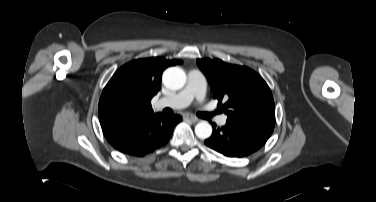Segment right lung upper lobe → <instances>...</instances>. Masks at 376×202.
Instances as JSON below:
<instances>
[{
  "label": "right lung upper lobe",
  "instance_id": "right-lung-upper-lobe-1",
  "mask_svg": "<svg viewBox=\"0 0 376 202\" xmlns=\"http://www.w3.org/2000/svg\"><path fill=\"white\" fill-rule=\"evenodd\" d=\"M182 63L153 57L120 67L105 86L99 101L100 125L105 136L153 115L151 99L161 85L162 72Z\"/></svg>",
  "mask_w": 376,
  "mask_h": 202
}]
</instances>
